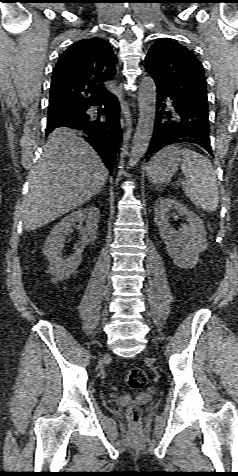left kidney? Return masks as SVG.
I'll use <instances>...</instances> for the list:
<instances>
[{
	"mask_svg": "<svg viewBox=\"0 0 238 476\" xmlns=\"http://www.w3.org/2000/svg\"><path fill=\"white\" fill-rule=\"evenodd\" d=\"M170 210L184 215L188 223L182 225L179 230L170 227L166 218ZM154 221L174 264L181 268L196 266L199 254L207 249L206 231L202 220L181 202L161 197L155 203Z\"/></svg>",
	"mask_w": 238,
	"mask_h": 476,
	"instance_id": "1",
	"label": "left kidney"
}]
</instances>
